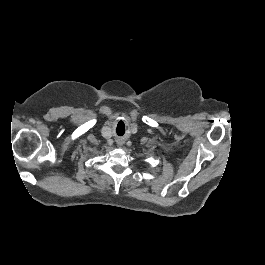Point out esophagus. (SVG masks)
Here are the masks:
<instances>
[{"mask_svg":"<svg viewBox=\"0 0 265 265\" xmlns=\"http://www.w3.org/2000/svg\"><path fill=\"white\" fill-rule=\"evenodd\" d=\"M124 139L123 138H118L117 140H116V143H117V145L118 146H122L123 144H124Z\"/></svg>","mask_w":265,"mask_h":265,"instance_id":"esophagus-1","label":"esophagus"}]
</instances>
